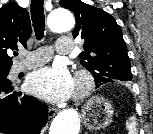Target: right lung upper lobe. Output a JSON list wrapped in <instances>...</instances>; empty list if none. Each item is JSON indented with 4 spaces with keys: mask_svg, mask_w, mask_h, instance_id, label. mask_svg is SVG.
Wrapping results in <instances>:
<instances>
[{
    "mask_svg": "<svg viewBox=\"0 0 153 134\" xmlns=\"http://www.w3.org/2000/svg\"><path fill=\"white\" fill-rule=\"evenodd\" d=\"M30 35L31 22L25 8L15 2L0 8V70L11 68L13 62L7 52L19 45L26 47Z\"/></svg>",
    "mask_w": 153,
    "mask_h": 134,
    "instance_id": "obj_1",
    "label": "right lung upper lobe"
}]
</instances>
